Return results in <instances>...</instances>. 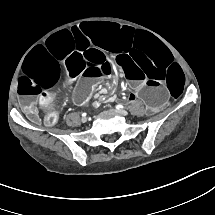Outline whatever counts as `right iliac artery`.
Instances as JSON below:
<instances>
[{"label": "right iliac artery", "instance_id": "obj_1", "mask_svg": "<svg viewBox=\"0 0 215 215\" xmlns=\"http://www.w3.org/2000/svg\"><path fill=\"white\" fill-rule=\"evenodd\" d=\"M82 116H86V114H85V113H83V114H82Z\"/></svg>", "mask_w": 215, "mask_h": 215}]
</instances>
